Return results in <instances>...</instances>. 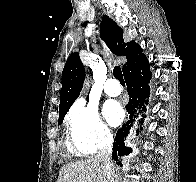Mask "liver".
Masks as SVG:
<instances>
[{
	"mask_svg": "<svg viewBox=\"0 0 196 182\" xmlns=\"http://www.w3.org/2000/svg\"><path fill=\"white\" fill-rule=\"evenodd\" d=\"M57 182H106L104 164L95 157L68 163L61 168Z\"/></svg>",
	"mask_w": 196,
	"mask_h": 182,
	"instance_id": "liver-1",
	"label": "liver"
}]
</instances>
